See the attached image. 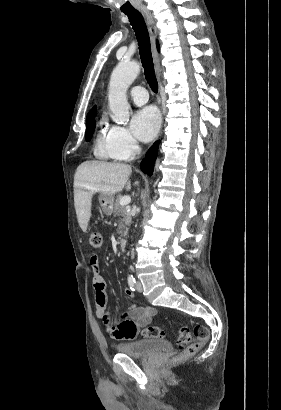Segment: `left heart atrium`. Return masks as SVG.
I'll return each instance as SVG.
<instances>
[{"mask_svg":"<svg viewBox=\"0 0 281 410\" xmlns=\"http://www.w3.org/2000/svg\"><path fill=\"white\" fill-rule=\"evenodd\" d=\"M132 131L142 141H150L160 127V115L155 107L148 106L138 110L131 123Z\"/></svg>","mask_w":281,"mask_h":410,"instance_id":"obj_1","label":"left heart atrium"}]
</instances>
